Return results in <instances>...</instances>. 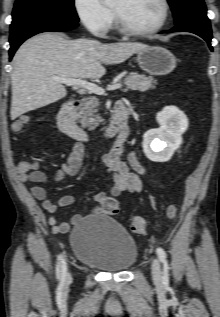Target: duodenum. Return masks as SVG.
Wrapping results in <instances>:
<instances>
[{
  "label": "duodenum",
  "mask_w": 220,
  "mask_h": 317,
  "mask_svg": "<svg viewBox=\"0 0 220 317\" xmlns=\"http://www.w3.org/2000/svg\"><path fill=\"white\" fill-rule=\"evenodd\" d=\"M78 105L79 102L77 99H67L58 110L57 125L58 128L67 135L78 141L86 142L90 137L88 132L74 120L75 109ZM127 119L128 110L123 101H118L114 106L111 121L105 129L103 136L107 138H114L116 145H123L129 138Z\"/></svg>",
  "instance_id": "obj_1"
}]
</instances>
